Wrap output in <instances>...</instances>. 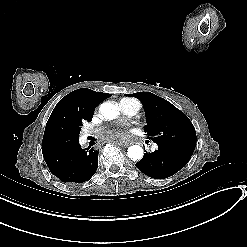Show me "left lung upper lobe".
Returning <instances> with one entry per match:
<instances>
[{"label": "left lung upper lobe", "mask_w": 247, "mask_h": 247, "mask_svg": "<svg viewBox=\"0 0 247 247\" xmlns=\"http://www.w3.org/2000/svg\"><path fill=\"white\" fill-rule=\"evenodd\" d=\"M141 101L147 125L144 132L157 145L174 146L193 152L196 131L190 119L173 104L150 92L125 94Z\"/></svg>", "instance_id": "1"}]
</instances>
